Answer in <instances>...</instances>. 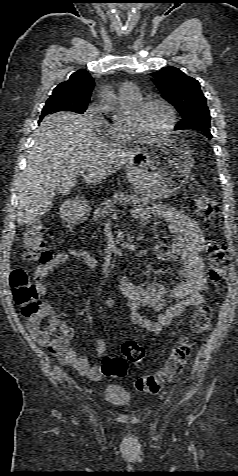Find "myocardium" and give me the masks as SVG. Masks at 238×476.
Wrapping results in <instances>:
<instances>
[{
    "instance_id": "f54148a6",
    "label": "myocardium",
    "mask_w": 238,
    "mask_h": 476,
    "mask_svg": "<svg viewBox=\"0 0 238 476\" xmlns=\"http://www.w3.org/2000/svg\"><path fill=\"white\" fill-rule=\"evenodd\" d=\"M153 104L161 105L165 108L168 113V123L166 127L156 134H146L142 132L134 123L133 119L140 116L147 107ZM127 128L132 135V137L139 142L153 141L167 136L176 125V113L173 106L162 98H147L138 102L129 113L128 118L126 119Z\"/></svg>"
}]
</instances>
